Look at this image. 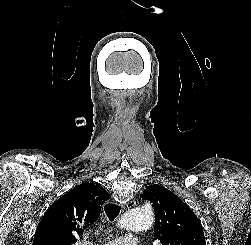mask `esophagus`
Wrapping results in <instances>:
<instances>
[{
    "instance_id": "esophagus-1",
    "label": "esophagus",
    "mask_w": 251,
    "mask_h": 245,
    "mask_svg": "<svg viewBox=\"0 0 251 245\" xmlns=\"http://www.w3.org/2000/svg\"><path fill=\"white\" fill-rule=\"evenodd\" d=\"M134 205H135V201L130 200L129 202L126 203V205L124 206V209H129V208L133 207Z\"/></svg>"
}]
</instances>
